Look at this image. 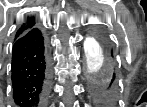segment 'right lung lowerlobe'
<instances>
[{
    "label": "right lung lower lobe",
    "instance_id": "1",
    "mask_svg": "<svg viewBox=\"0 0 147 107\" xmlns=\"http://www.w3.org/2000/svg\"><path fill=\"white\" fill-rule=\"evenodd\" d=\"M49 74L41 31L33 28L15 39L11 79L16 107H44Z\"/></svg>",
    "mask_w": 147,
    "mask_h": 107
}]
</instances>
